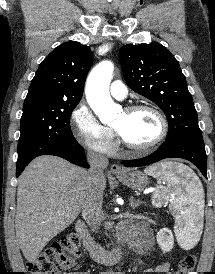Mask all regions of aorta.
Returning <instances> with one entry per match:
<instances>
[{"label": "aorta", "mask_w": 215, "mask_h": 274, "mask_svg": "<svg viewBox=\"0 0 215 274\" xmlns=\"http://www.w3.org/2000/svg\"><path fill=\"white\" fill-rule=\"evenodd\" d=\"M113 70L112 62H100L89 74L86 84V99L104 124L111 122L121 111V106L114 103L109 94Z\"/></svg>", "instance_id": "1"}]
</instances>
